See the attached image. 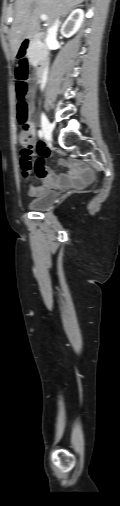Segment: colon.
<instances>
[{"mask_svg": "<svg viewBox=\"0 0 120 506\" xmlns=\"http://www.w3.org/2000/svg\"><path fill=\"white\" fill-rule=\"evenodd\" d=\"M13 57L15 60H19L20 62L16 73L17 78L16 95H17V119L22 127V130L18 133L17 140L22 146L20 151V158H22V160L24 161H27L32 157L33 143L35 141V136L31 131L32 124L30 122V106L27 99L30 89L27 83V78L29 74L27 66L28 57L26 56L25 58H20L18 56V49L14 50Z\"/></svg>", "mask_w": 120, "mask_h": 506, "instance_id": "colon-1", "label": "colon"}]
</instances>
